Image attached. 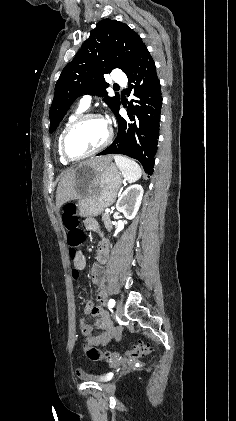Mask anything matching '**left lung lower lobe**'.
<instances>
[{
	"mask_svg": "<svg viewBox=\"0 0 236 421\" xmlns=\"http://www.w3.org/2000/svg\"><path fill=\"white\" fill-rule=\"evenodd\" d=\"M125 74L129 88H134L136 99L131 100L134 104L129 103V119L120 116L119 108L114 113L118 120L117 137L97 155H127L140 161L145 172L152 175L160 130L162 96L155 63L145 44L139 46Z\"/></svg>",
	"mask_w": 236,
	"mask_h": 421,
	"instance_id": "0a47b994",
	"label": "left lung lower lobe"
}]
</instances>
